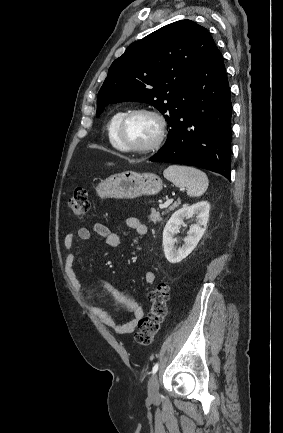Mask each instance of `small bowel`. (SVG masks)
I'll list each match as a JSON object with an SVG mask.
<instances>
[{
  "label": "small bowel",
  "mask_w": 283,
  "mask_h": 433,
  "mask_svg": "<svg viewBox=\"0 0 283 433\" xmlns=\"http://www.w3.org/2000/svg\"><path fill=\"white\" fill-rule=\"evenodd\" d=\"M126 226L142 236L146 235L148 232L147 226L141 223L140 220L135 217L126 219ZM94 234L103 238L105 243L111 247H117L121 242L120 234L111 231L102 223H95L92 229L81 227L77 230L76 234L68 233L64 238V248L66 251H68L64 265L65 273L74 289L86 301L89 311L96 315L104 325L118 334L133 333L136 330L139 321L145 315L143 306L129 295L117 292V299L131 311L132 316L123 320L115 319L107 310L98 306L87 295L85 287L79 280L74 269L75 256L70 251L74 245L75 238L77 237L80 240L88 241L93 238ZM144 280L146 284L152 285L155 281V274L152 271H147L144 275ZM103 288L109 290L111 286L107 283H103Z\"/></svg>",
  "instance_id": "1"
}]
</instances>
